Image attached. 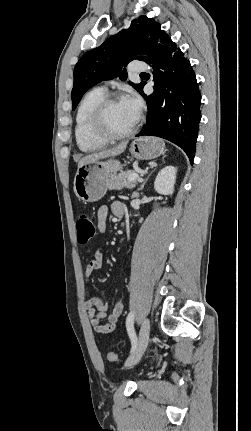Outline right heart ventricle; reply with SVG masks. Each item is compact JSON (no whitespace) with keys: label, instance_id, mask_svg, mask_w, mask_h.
I'll use <instances>...</instances> for the list:
<instances>
[{"label":"right heart ventricle","instance_id":"1","mask_svg":"<svg viewBox=\"0 0 251 431\" xmlns=\"http://www.w3.org/2000/svg\"><path fill=\"white\" fill-rule=\"evenodd\" d=\"M104 97V90L94 88L83 96L78 105L75 115L74 134L76 143L83 152H92L107 144V141L94 136L90 128L92 112Z\"/></svg>","mask_w":251,"mask_h":431}]
</instances>
